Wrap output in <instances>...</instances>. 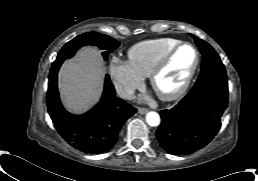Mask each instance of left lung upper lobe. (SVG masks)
Segmentation results:
<instances>
[{"instance_id":"left-lung-upper-lobe-1","label":"left lung upper lobe","mask_w":258,"mask_h":181,"mask_svg":"<svg viewBox=\"0 0 258 181\" xmlns=\"http://www.w3.org/2000/svg\"><path fill=\"white\" fill-rule=\"evenodd\" d=\"M202 54V67L197 81L209 76L227 77L225 67L215 50L204 40L190 34Z\"/></svg>"}]
</instances>
